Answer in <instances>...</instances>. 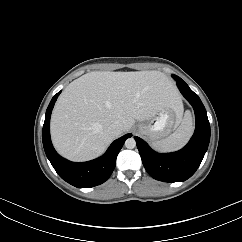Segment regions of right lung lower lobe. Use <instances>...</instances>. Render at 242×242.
Masks as SVG:
<instances>
[{"mask_svg":"<svg viewBox=\"0 0 242 242\" xmlns=\"http://www.w3.org/2000/svg\"><path fill=\"white\" fill-rule=\"evenodd\" d=\"M60 93L61 91L52 98L46 111L42 131L45 153L58 175L69 184L78 188H88L102 184L112 174L116 165L117 155L125 140L131 137L132 134H126L115 140L106 153L95 160L75 163L62 158L53 148L49 127L51 112Z\"/></svg>","mask_w":242,"mask_h":242,"instance_id":"1","label":"right lung lower lobe"}]
</instances>
